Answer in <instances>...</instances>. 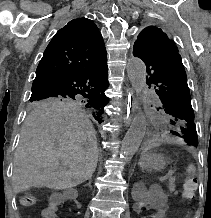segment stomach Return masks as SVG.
Returning <instances> with one entry per match:
<instances>
[{
	"label": "stomach",
	"mask_w": 211,
	"mask_h": 218,
	"mask_svg": "<svg viewBox=\"0 0 211 218\" xmlns=\"http://www.w3.org/2000/svg\"><path fill=\"white\" fill-rule=\"evenodd\" d=\"M166 162L159 154L147 153L143 155L140 165L145 169L161 170L164 168Z\"/></svg>",
	"instance_id": "0dacf381"
}]
</instances>
